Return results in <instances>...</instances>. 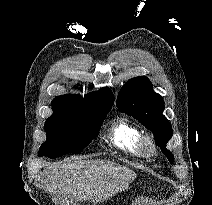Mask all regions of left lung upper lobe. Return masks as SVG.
I'll return each mask as SVG.
<instances>
[{"label":"left lung upper lobe","mask_w":212,"mask_h":205,"mask_svg":"<svg viewBox=\"0 0 212 205\" xmlns=\"http://www.w3.org/2000/svg\"><path fill=\"white\" fill-rule=\"evenodd\" d=\"M116 105L120 112L136 118L153 132L155 143L172 163L173 155L165 148L172 136V127L162 114L163 98L153 91L150 80L145 76L128 80L118 94Z\"/></svg>","instance_id":"obj_1"}]
</instances>
